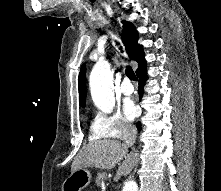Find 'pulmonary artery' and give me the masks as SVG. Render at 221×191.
Instances as JSON below:
<instances>
[{"label": "pulmonary artery", "mask_w": 221, "mask_h": 191, "mask_svg": "<svg viewBox=\"0 0 221 191\" xmlns=\"http://www.w3.org/2000/svg\"><path fill=\"white\" fill-rule=\"evenodd\" d=\"M120 91L124 94V95H131L134 91V87L133 85L130 83L128 78H125L121 85H120Z\"/></svg>", "instance_id": "e3ab8cb5"}]
</instances>
